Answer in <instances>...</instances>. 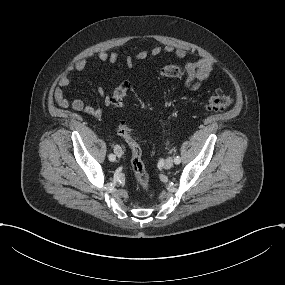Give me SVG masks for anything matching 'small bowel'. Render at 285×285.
Here are the masks:
<instances>
[{
  "mask_svg": "<svg viewBox=\"0 0 285 285\" xmlns=\"http://www.w3.org/2000/svg\"><path fill=\"white\" fill-rule=\"evenodd\" d=\"M160 54H172L177 59H183L188 56V51L185 49H176L173 46H155L151 50H142L135 55H127L124 61L128 67L134 66L136 63L143 61L149 57L154 58ZM119 59V54L114 51H100L98 60L103 64L114 65ZM87 65V60L84 57L78 58L71 62L65 70L60 74L57 81V86L53 91V98L56 104L62 108H72L77 112H84L92 117L100 118L103 115L104 108L112 106L111 96L105 95L103 86H98V94L103 98V107H94L85 104L80 99L69 100L63 92V88L70 85V74L72 72H82ZM213 72V62L208 58L190 57L185 65V80L184 85L188 89H197L206 82Z\"/></svg>",
  "mask_w": 285,
  "mask_h": 285,
  "instance_id": "1",
  "label": "small bowel"
}]
</instances>
